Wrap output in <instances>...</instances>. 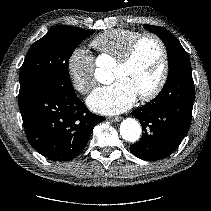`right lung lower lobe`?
<instances>
[{
    "instance_id": "98d812e1",
    "label": "right lung lower lobe",
    "mask_w": 211,
    "mask_h": 211,
    "mask_svg": "<svg viewBox=\"0 0 211 211\" xmlns=\"http://www.w3.org/2000/svg\"><path fill=\"white\" fill-rule=\"evenodd\" d=\"M19 108L29 143L53 161L78 156L94 126L104 121V117L88 111L74 89L50 81L21 90Z\"/></svg>"
}]
</instances>
